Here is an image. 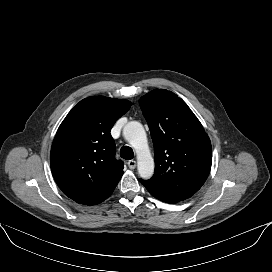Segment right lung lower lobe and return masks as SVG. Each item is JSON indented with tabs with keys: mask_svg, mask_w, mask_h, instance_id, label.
Here are the masks:
<instances>
[{
	"mask_svg": "<svg viewBox=\"0 0 272 272\" xmlns=\"http://www.w3.org/2000/svg\"><path fill=\"white\" fill-rule=\"evenodd\" d=\"M120 178L115 180L109 187H107L103 192H101L98 196H96L94 199H92L86 205H89V206L96 205V204H99L102 201H104L106 198H108L112 194V192L114 191V189L117 186Z\"/></svg>",
	"mask_w": 272,
	"mask_h": 272,
	"instance_id": "right-lung-lower-lobe-1",
	"label": "right lung lower lobe"
}]
</instances>
